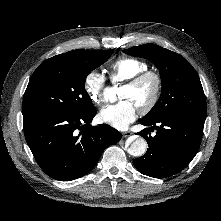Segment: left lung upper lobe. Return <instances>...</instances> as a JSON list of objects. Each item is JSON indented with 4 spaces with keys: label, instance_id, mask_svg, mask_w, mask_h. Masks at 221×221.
Returning a JSON list of instances; mask_svg holds the SVG:
<instances>
[{
    "label": "left lung upper lobe",
    "instance_id": "left-lung-upper-lobe-1",
    "mask_svg": "<svg viewBox=\"0 0 221 221\" xmlns=\"http://www.w3.org/2000/svg\"><path fill=\"white\" fill-rule=\"evenodd\" d=\"M123 52L148 59L160 71V98L144 118L168 115L206 118V101L199 76L184 57L151 43L131 47Z\"/></svg>",
    "mask_w": 221,
    "mask_h": 221
}]
</instances>
